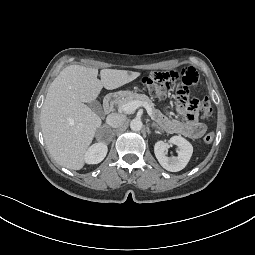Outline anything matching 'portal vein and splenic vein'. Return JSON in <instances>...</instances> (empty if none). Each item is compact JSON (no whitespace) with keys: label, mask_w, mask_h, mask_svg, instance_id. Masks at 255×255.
<instances>
[{"label":"portal vein and splenic vein","mask_w":255,"mask_h":255,"mask_svg":"<svg viewBox=\"0 0 255 255\" xmlns=\"http://www.w3.org/2000/svg\"><path fill=\"white\" fill-rule=\"evenodd\" d=\"M141 106L145 107L149 116H152V108L147 103L142 101L128 102L122 106H119V109L125 113H132Z\"/></svg>","instance_id":"1"}]
</instances>
